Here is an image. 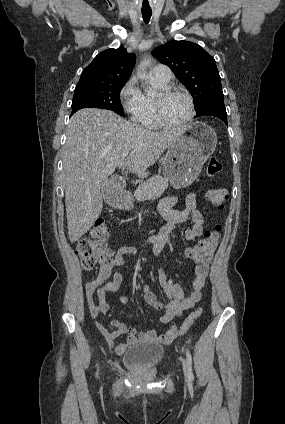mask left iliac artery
<instances>
[{"mask_svg": "<svg viewBox=\"0 0 285 424\" xmlns=\"http://www.w3.org/2000/svg\"><path fill=\"white\" fill-rule=\"evenodd\" d=\"M186 357H187V365H188V379L190 382H192L194 379L193 372H192V357L188 350L186 351Z\"/></svg>", "mask_w": 285, "mask_h": 424, "instance_id": "44dca946", "label": "left iliac artery"}]
</instances>
